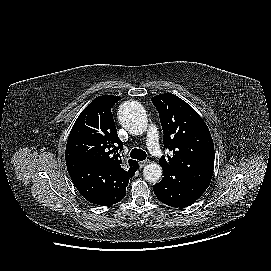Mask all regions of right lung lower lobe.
Instances as JSON below:
<instances>
[{
	"label": "right lung lower lobe",
	"mask_w": 271,
	"mask_h": 271,
	"mask_svg": "<svg viewBox=\"0 0 271 271\" xmlns=\"http://www.w3.org/2000/svg\"><path fill=\"white\" fill-rule=\"evenodd\" d=\"M66 166L79 193L89 202L102 206L121 201L125 197L129 179L134 175L126 176L122 171L97 166L85 160H70Z\"/></svg>",
	"instance_id": "obj_1"
}]
</instances>
